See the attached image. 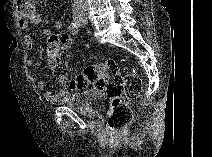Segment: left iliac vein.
<instances>
[{"mask_svg": "<svg viewBox=\"0 0 212 157\" xmlns=\"http://www.w3.org/2000/svg\"><path fill=\"white\" fill-rule=\"evenodd\" d=\"M80 24L86 25L87 24V19L84 18L82 21L79 22Z\"/></svg>", "mask_w": 212, "mask_h": 157, "instance_id": "4c4485c4", "label": "left iliac vein"}]
</instances>
